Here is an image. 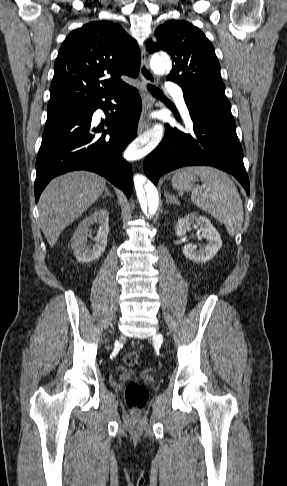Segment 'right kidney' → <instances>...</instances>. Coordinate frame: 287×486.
<instances>
[{"mask_svg": "<svg viewBox=\"0 0 287 486\" xmlns=\"http://www.w3.org/2000/svg\"><path fill=\"white\" fill-rule=\"evenodd\" d=\"M95 223L100 224L97 235L94 237L95 244L87 245L89 227ZM108 233L109 213L106 209H97L93 214L85 217L71 238V248L77 261L88 263L98 259L107 246Z\"/></svg>", "mask_w": 287, "mask_h": 486, "instance_id": "1", "label": "right kidney"}]
</instances>
